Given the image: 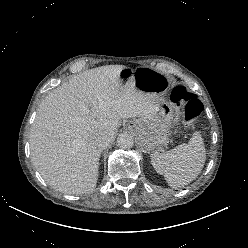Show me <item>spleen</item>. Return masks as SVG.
Instances as JSON below:
<instances>
[{
    "mask_svg": "<svg viewBox=\"0 0 248 248\" xmlns=\"http://www.w3.org/2000/svg\"><path fill=\"white\" fill-rule=\"evenodd\" d=\"M150 157L157 173L164 175L169 186L177 188L189 184L200 174L206 151L201 135L196 132L187 144L164 153L155 151Z\"/></svg>",
    "mask_w": 248,
    "mask_h": 248,
    "instance_id": "1",
    "label": "spleen"
}]
</instances>
